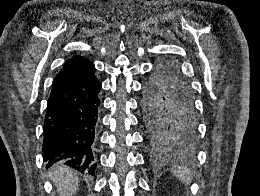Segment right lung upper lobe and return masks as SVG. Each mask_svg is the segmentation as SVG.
I'll return each mask as SVG.
<instances>
[{
	"instance_id": "right-lung-upper-lobe-1",
	"label": "right lung upper lobe",
	"mask_w": 260,
	"mask_h": 196,
	"mask_svg": "<svg viewBox=\"0 0 260 196\" xmlns=\"http://www.w3.org/2000/svg\"><path fill=\"white\" fill-rule=\"evenodd\" d=\"M94 69V64L87 58L76 56L69 59L63 69L55 77L54 81H59L65 78L82 75Z\"/></svg>"
}]
</instances>
